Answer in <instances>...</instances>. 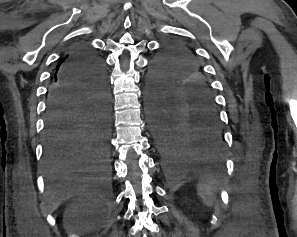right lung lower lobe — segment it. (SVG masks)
<instances>
[{"label": "right lung lower lobe", "instance_id": "1", "mask_svg": "<svg viewBox=\"0 0 297 237\" xmlns=\"http://www.w3.org/2000/svg\"><path fill=\"white\" fill-rule=\"evenodd\" d=\"M44 163L51 175L110 171V100L100 58L86 45L63 58L48 89Z\"/></svg>", "mask_w": 297, "mask_h": 237}]
</instances>
